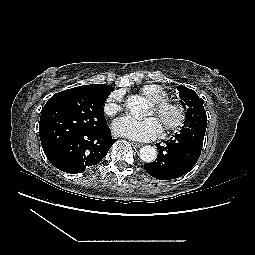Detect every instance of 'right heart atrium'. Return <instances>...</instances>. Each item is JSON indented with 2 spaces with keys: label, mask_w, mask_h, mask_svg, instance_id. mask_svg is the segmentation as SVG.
<instances>
[{
  "label": "right heart atrium",
  "mask_w": 255,
  "mask_h": 255,
  "mask_svg": "<svg viewBox=\"0 0 255 255\" xmlns=\"http://www.w3.org/2000/svg\"><path fill=\"white\" fill-rule=\"evenodd\" d=\"M122 108L121 94L118 92H113L107 98L103 110L107 116L112 117L117 115L122 110Z\"/></svg>",
  "instance_id": "d8ad5b80"
}]
</instances>
